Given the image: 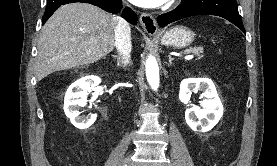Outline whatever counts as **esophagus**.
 <instances>
[{"mask_svg":"<svg viewBox=\"0 0 277 166\" xmlns=\"http://www.w3.org/2000/svg\"><path fill=\"white\" fill-rule=\"evenodd\" d=\"M140 24L144 31H146L150 35H156L160 33V30L157 26V22L155 18L147 13H143L140 15Z\"/></svg>","mask_w":277,"mask_h":166,"instance_id":"1","label":"esophagus"}]
</instances>
